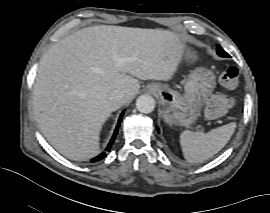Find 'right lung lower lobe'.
<instances>
[{
	"label": "right lung lower lobe",
	"instance_id": "98d812e1",
	"mask_svg": "<svg viewBox=\"0 0 270 213\" xmlns=\"http://www.w3.org/2000/svg\"><path fill=\"white\" fill-rule=\"evenodd\" d=\"M122 116H123V113L120 115V118H119V120H118V124H117V126H116V129H115V131H114V134H113V136H112V139L110 140V142H109V144H108V146H107V148H106V151H110V149H111V146H112V144H113V142H114V140H115V138H116V135H117V133H118V128H119V125H120V122H121V120H122ZM106 156V153H101L99 156H97V157H95L94 159H92V162H96V161H99V160H101L102 158H104Z\"/></svg>",
	"mask_w": 270,
	"mask_h": 213
}]
</instances>
